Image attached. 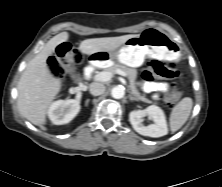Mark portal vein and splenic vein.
I'll return each mask as SVG.
<instances>
[{
    "mask_svg": "<svg viewBox=\"0 0 222 187\" xmlns=\"http://www.w3.org/2000/svg\"><path fill=\"white\" fill-rule=\"evenodd\" d=\"M116 73L121 76H126V73L122 70H117ZM112 76H113L112 73L107 72V71H103V72L97 73L94 76V80L100 81V82H106V81L111 80Z\"/></svg>",
    "mask_w": 222,
    "mask_h": 187,
    "instance_id": "obj_1",
    "label": "portal vein and splenic vein"
}]
</instances>
